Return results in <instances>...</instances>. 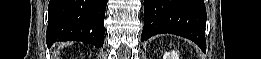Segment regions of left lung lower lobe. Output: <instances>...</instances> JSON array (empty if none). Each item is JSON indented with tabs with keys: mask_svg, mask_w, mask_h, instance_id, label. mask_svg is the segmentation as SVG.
Here are the masks:
<instances>
[{
	"mask_svg": "<svg viewBox=\"0 0 261 59\" xmlns=\"http://www.w3.org/2000/svg\"><path fill=\"white\" fill-rule=\"evenodd\" d=\"M205 25L203 0H144L142 41L156 34H176L192 40L205 52Z\"/></svg>",
	"mask_w": 261,
	"mask_h": 59,
	"instance_id": "1",
	"label": "left lung lower lobe"
}]
</instances>
